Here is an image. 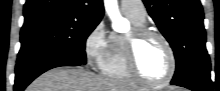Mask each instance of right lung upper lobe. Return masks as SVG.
<instances>
[{
    "label": "right lung upper lobe",
    "instance_id": "right-lung-upper-lobe-1",
    "mask_svg": "<svg viewBox=\"0 0 220 91\" xmlns=\"http://www.w3.org/2000/svg\"><path fill=\"white\" fill-rule=\"evenodd\" d=\"M103 14L102 0H27L24 5V24L59 16L100 21Z\"/></svg>",
    "mask_w": 220,
    "mask_h": 91
}]
</instances>
